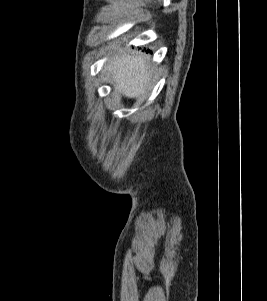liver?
<instances>
[{
  "mask_svg": "<svg viewBox=\"0 0 267 301\" xmlns=\"http://www.w3.org/2000/svg\"><path fill=\"white\" fill-rule=\"evenodd\" d=\"M104 71L110 76L114 89L128 98L140 97L150 89L151 69L142 53H122L109 61Z\"/></svg>",
  "mask_w": 267,
  "mask_h": 301,
  "instance_id": "1",
  "label": "liver"
}]
</instances>
